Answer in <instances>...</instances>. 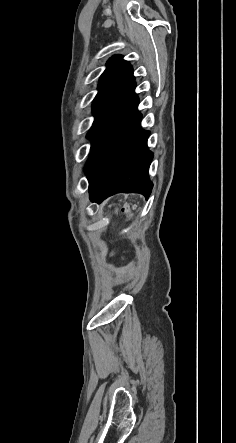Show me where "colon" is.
<instances>
[{
    "label": "colon",
    "instance_id": "5ec220e1",
    "mask_svg": "<svg viewBox=\"0 0 236 443\" xmlns=\"http://www.w3.org/2000/svg\"><path fill=\"white\" fill-rule=\"evenodd\" d=\"M131 209H132V207H130L129 205H126V206L124 207V210H125L126 212H130Z\"/></svg>",
    "mask_w": 236,
    "mask_h": 443
}]
</instances>
